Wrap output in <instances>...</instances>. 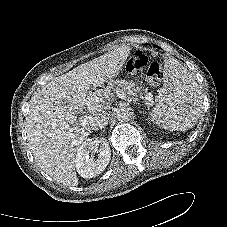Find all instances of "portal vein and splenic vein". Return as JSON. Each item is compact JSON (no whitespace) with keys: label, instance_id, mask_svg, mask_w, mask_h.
<instances>
[{"label":"portal vein and splenic vein","instance_id":"portal-vein-and-splenic-vein-1","mask_svg":"<svg viewBox=\"0 0 227 227\" xmlns=\"http://www.w3.org/2000/svg\"><path fill=\"white\" fill-rule=\"evenodd\" d=\"M116 93H117V96L121 99H123L125 97L123 93H120V92H116ZM145 98L148 101H151L153 99L151 93H148ZM90 122H91V116L83 115L80 117V124L82 126H86V125L90 124Z\"/></svg>","mask_w":227,"mask_h":227}]
</instances>
